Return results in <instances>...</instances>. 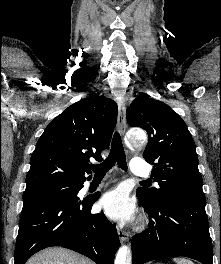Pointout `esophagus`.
Wrapping results in <instances>:
<instances>
[{"label": "esophagus", "instance_id": "1", "mask_svg": "<svg viewBox=\"0 0 221 264\" xmlns=\"http://www.w3.org/2000/svg\"><path fill=\"white\" fill-rule=\"evenodd\" d=\"M118 124H119L120 134L123 136L126 132L127 123H126V104L125 101L122 99L118 101ZM118 236L121 243H124L129 239L128 234L122 229H118Z\"/></svg>", "mask_w": 221, "mask_h": 264}]
</instances>
